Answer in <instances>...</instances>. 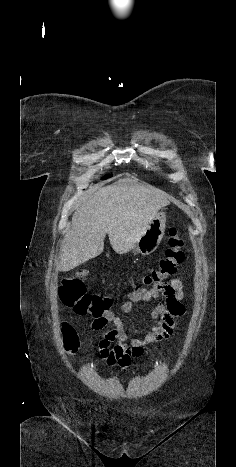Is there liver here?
Segmentation results:
<instances>
[{"instance_id": "liver-1", "label": "liver", "mask_w": 236, "mask_h": 467, "mask_svg": "<svg viewBox=\"0 0 236 467\" xmlns=\"http://www.w3.org/2000/svg\"><path fill=\"white\" fill-rule=\"evenodd\" d=\"M169 204L164 192L130 178L85 195L75 206L57 269L67 272L100 255L106 234L116 253L131 251L157 212Z\"/></svg>"}]
</instances>
